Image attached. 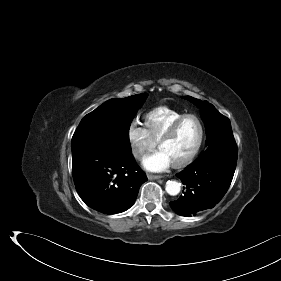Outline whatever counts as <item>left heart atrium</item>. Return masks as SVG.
<instances>
[{
  "mask_svg": "<svg viewBox=\"0 0 281 281\" xmlns=\"http://www.w3.org/2000/svg\"><path fill=\"white\" fill-rule=\"evenodd\" d=\"M143 166L153 172L164 171L170 167L172 161L170 158L160 149L143 159Z\"/></svg>",
  "mask_w": 281,
  "mask_h": 281,
  "instance_id": "left-heart-atrium-1",
  "label": "left heart atrium"
}]
</instances>
